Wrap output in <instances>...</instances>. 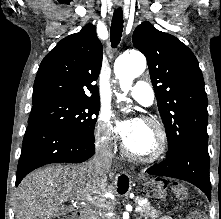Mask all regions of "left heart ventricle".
Instances as JSON below:
<instances>
[{"label": "left heart ventricle", "instance_id": "left-heart-ventricle-1", "mask_svg": "<svg viewBox=\"0 0 221 219\" xmlns=\"http://www.w3.org/2000/svg\"><path fill=\"white\" fill-rule=\"evenodd\" d=\"M125 142L132 152L148 155L156 148L157 136L153 129L139 122L138 128Z\"/></svg>", "mask_w": 221, "mask_h": 219}]
</instances>
